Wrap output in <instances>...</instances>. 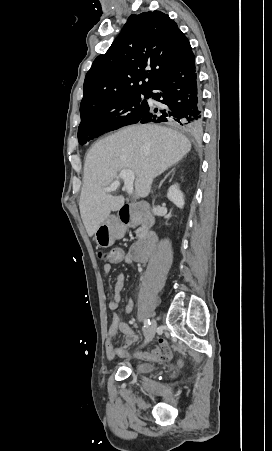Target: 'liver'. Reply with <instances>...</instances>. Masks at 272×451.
<instances>
[{"mask_svg":"<svg viewBox=\"0 0 272 451\" xmlns=\"http://www.w3.org/2000/svg\"><path fill=\"white\" fill-rule=\"evenodd\" d=\"M190 150L191 142L186 136L157 124L127 126L93 144L84 164L79 202L88 235H94L111 212H117L125 204L124 196L104 192L120 170L135 172L137 196L144 198L154 178L177 164Z\"/></svg>","mask_w":272,"mask_h":451,"instance_id":"6515ba94","label":"liver"}]
</instances>
